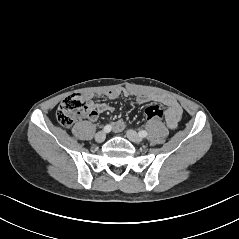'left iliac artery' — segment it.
Listing matches in <instances>:
<instances>
[{"mask_svg":"<svg viewBox=\"0 0 239 239\" xmlns=\"http://www.w3.org/2000/svg\"><path fill=\"white\" fill-rule=\"evenodd\" d=\"M139 136L144 138V137L147 136V132L145 130H142V131L139 132Z\"/></svg>","mask_w":239,"mask_h":239,"instance_id":"left-iliac-artery-1","label":"left iliac artery"}]
</instances>
